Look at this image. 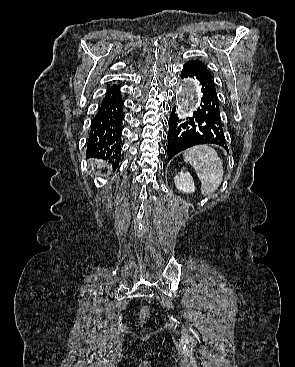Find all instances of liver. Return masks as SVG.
<instances>
[{
    "label": "liver",
    "mask_w": 295,
    "mask_h": 367,
    "mask_svg": "<svg viewBox=\"0 0 295 367\" xmlns=\"http://www.w3.org/2000/svg\"><path fill=\"white\" fill-rule=\"evenodd\" d=\"M94 165H103V162L95 161V162H94Z\"/></svg>",
    "instance_id": "6515ba94"
}]
</instances>
